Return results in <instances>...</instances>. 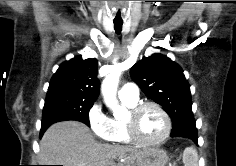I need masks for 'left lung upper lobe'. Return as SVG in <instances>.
<instances>
[{
	"label": "left lung upper lobe",
	"mask_w": 236,
	"mask_h": 166,
	"mask_svg": "<svg viewBox=\"0 0 236 166\" xmlns=\"http://www.w3.org/2000/svg\"><path fill=\"white\" fill-rule=\"evenodd\" d=\"M131 76L144 94L163 106L176 123H195L190 86L181 67L161 54L144 57L131 68Z\"/></svg>",
	"instance_id": "obj_1"
}]
</instances>
